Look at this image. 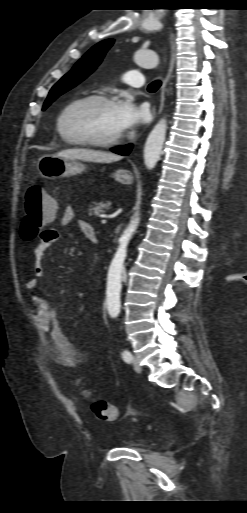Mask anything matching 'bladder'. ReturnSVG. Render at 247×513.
I'll use <instances>...</instances> for the list:
<instances>
[{"mask_svg":"<svg viewBox=\"0 0 247 513\" xmlns=\"http://www.w3.org/2000/svg\"><path fill=\"white\" fill-rule=\"evenodd\" d=\"M146 444L145 440H120L116 442L114 445V448H129V449H136V448H142Z\"/></svg>","mask_w":247,"mask_h":513,"instance_id":"bladder-1","label":"bladder"}]
</instances>
